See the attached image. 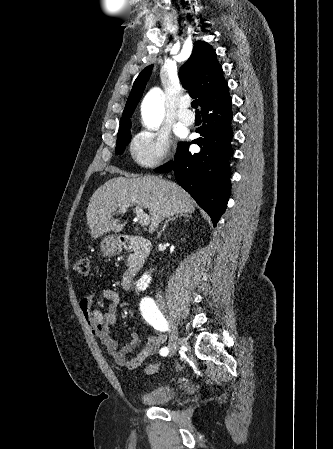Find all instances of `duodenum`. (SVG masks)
<instances>
[{
    "label": "duodenum",
    "instance_id": "410a0bca",
    "mask_svg": "<svg viewBox=\"0 0 333 449\" xmlns=\"http://www.w3.org/2000/svg\"><path fill=\"white\" fill-rule=\"evenodd\" d=\"M118 244L123 249L132 250L134 252V260L125 272L122 282L125 289H130L134 282V278L142 269L145 259L150 253L151 244L146 238L139 236H120L118 238Z\"/></svg>",
    "mask_w": 333,
    "mask_h": 449
}]
</instances>
